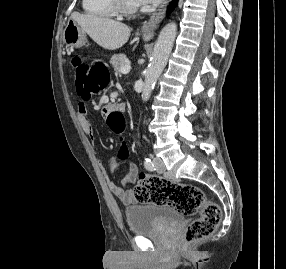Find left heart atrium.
Returning a JSON list of instances; mask_svg holds the SVG:
<instances>
[{
  "label": "left heart atrium",
  "instance_id": "1",
  "mask_svg": "<svg viewBox=\"0 0 286 269\" xmlns=\"http://www.w3.org/2000/svg\"><path fill=\"white\" fill-rule=\"evenodd\" d=\"M138 5H156L162 0H136Z\"/></svg>",
  "mask_w": 286,
  "mask_h": 269
}]
</instances>
